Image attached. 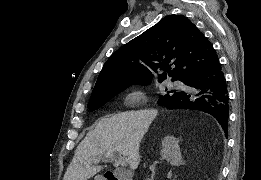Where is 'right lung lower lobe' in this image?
Listing matches in <instances>:
<instances>
[{
  "instance_id": "1",
  "label": "right lung lower lobe",
  "mask_w": 261,
  "mask_h": 180,
  "mask_svg": "<svg viewBox=\"0 0 261 180\" xmlns=\"http://www.w3.org/2000/svg\"><path fill=\"white\" fill-rule=\"evenodd\" d=\"M183 82L190 92H177L160 103L168 109H195L214 116L228 135L229 96L219 61L190 73Z\"/></svg>"
}]
</instances>
